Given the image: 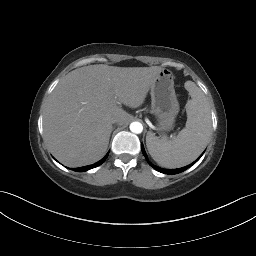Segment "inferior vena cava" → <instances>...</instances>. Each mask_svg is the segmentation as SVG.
Masks as SVG:
<instances>
[{
    "mask_svg": "<svg viewBox=\"0 0 256 256\" xmlns=\"http://www.w3.org/2000/svg\"><path fill=\"white\" fill-rule=\"evenodd\" d=\"M112 124H113L114 126H119V125L121 124V119H120L119 117H114V118L112 119Z\"/></svg>",
    "mask_w": 256,
    "mask_h": 256,
    "instance_id": "602c4592",
    "label": "inferior vena cava"
}]
</instances>
